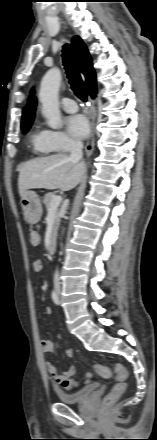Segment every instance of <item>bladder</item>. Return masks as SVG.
<instances>
[{
    "label": "bladder",
    "mask_w": 157,
    "mask_h": 440,
    "mask_svg": "<svg viewBox=\"0 0 157 440\" xmlns=\"http://www.w3.org/2000/svg\"><path fill=\"white\" fill-rule=\"evenodd\" d=\"M97 386L95 384H90L79 391L76 392H66L63 390H55V394L58 400L65 404H79L83 403L89 397L93 395Z\"/></svg>",
    "instance_id": "1"
}]
</instances>
